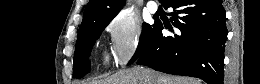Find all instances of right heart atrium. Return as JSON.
<instances>
[{"instance_id": "obj_1", "label": "right heart atrium", "mask_w": 260, "mask_h": 84, "mask_svg": "<svg viewBox=\"0 0 260 84\" xmlns=\"http://www.w3.org/2000/svg\"><path fill=\"white\" fill-rule=\"evenodd\" d=\"M113 61L125 65L138 52L141 46V28L139 23L128 16L119 15L106 25Z\"/></svg>"}]
</instances>
